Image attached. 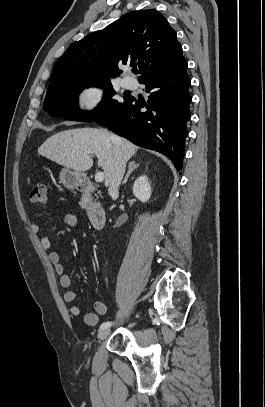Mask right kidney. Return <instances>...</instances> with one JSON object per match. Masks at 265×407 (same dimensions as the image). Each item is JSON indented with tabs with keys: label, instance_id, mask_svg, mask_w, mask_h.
<instances>
[{
	"label": "right kidney",
	"instance_id": "obj_1",
	"mask_svg": "<svg viewBox=\"0 0 265 407\" xmlns=\"http://www.w3.org/2000/svg\"><path fill=\"white\" fill-rule=\"evenodd\" d=\"M133 194L141 202H147L151 197V186L146 175L138 177L133 185Z\"/></svg>",
	"mask_w": 265,
	"mask_h": 407
}]
</instances>
